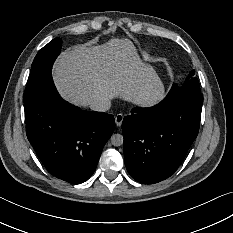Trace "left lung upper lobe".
<instances>
[{
    "mask_svg": "<svg viewBox=\"0 0 233 233\" xmlns=\"http://www.w3.org/2000/svg\"><path fill=\"white\" fill-rule=\"evenodd\" d=\"M194 73H195V71L193 70L187 76L185 82L182 85L174 84L171 89L179 90V91L201 93L199 81L196 77H194Z\"/></svg>",
    "mask_w": 233,
    "mask_h": 233,
    "instance_id": "obj_1",
    "label": "left lung upper lobe"
}]
</instances>
